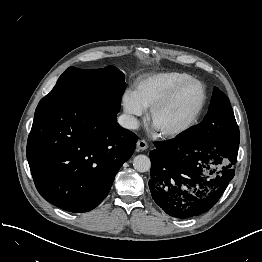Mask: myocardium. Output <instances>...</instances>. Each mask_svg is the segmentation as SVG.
I'll return each mask as SVG.
<instances>
[{
  "mask_svg": "<svg viewBox=\"0 0 262 262\" xmlns=\"http://www.w3.org/2000/svg\"><path fill=\"white\" fill-rule=\"evenodd\" d=\"M189 84H198L202 88V93H203L202 99H201V102L197 110L192 115V117L182 126L177 127L175 129H171V130L158 131L161 137L175 138V137H179L185 134L186 132H188L190 129H192L195 126L200 116L202 115V112L207 102V91L202 82H200L197 79L190 78L174 86L170 91H168L158 102H156L150 108L149 113H148V118H147L148 122L152 125L153 119L156 116V114L159 111H161L163 108H165L175 98V96L179 93V91L182 90L184 87H186Z\"/></svg>",
  "mask_w": 262,
  "mask_h": 262,
  "instance_id": "obj_1",
  "label": "myocardium"
}]
</instances>
